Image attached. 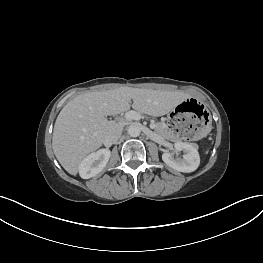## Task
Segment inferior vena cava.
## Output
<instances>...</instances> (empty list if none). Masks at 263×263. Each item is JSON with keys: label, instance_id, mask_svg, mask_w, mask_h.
Returning a JSON list of instances; mask_svg holds the SVG:
<instances>
[{"label": "inferior vena cava", "instance_id": "602c4592", "mask_svg": "<svg viewBox=\"0 0 263 263\" xmlns=\"http://www.w3.org/2000/svg\"><path fill=\"white\" fill-rule=\"evenodd\" d=\"M122 131H123L122 127L114 128L112 131L109 132L106 140H108L112 143L117 142L122 135Z\"/></svg>", "mask_w": 263, "mask_h": 263}]
</instances>
